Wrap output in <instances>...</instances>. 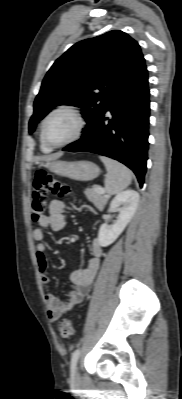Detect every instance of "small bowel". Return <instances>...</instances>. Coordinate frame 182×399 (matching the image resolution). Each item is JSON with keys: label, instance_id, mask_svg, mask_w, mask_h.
<instances>
[{"label": "small bowel", "instance_id": "1", "mask_svg": "<svg viewBox=\"0 0 182 399\" xmlns=\"http://www.w3.org/2000/svg\"><path fill=\"white\" fill-rule=\"evenodd\" d=\"M64 211V202L59 199H53L49 203L48 214L40 218L39 226L33 231V238L38 242L36 245V260L41 272L40 279L45 285H50L52 281L46 273L49 267V259L47 256V244L44 242L45 229L62 230L66 223ZM101 256L102 247L97 239H93L90 243V258L87 264L71 274V283L74 288L69 291L67 300L63 302L53 293L46 294L47 314L51 322H56L82 302L84 296L90 291L99 268Z\"/></svg>", "mask_w": 182, "mask_h": 399}]
</instances>
